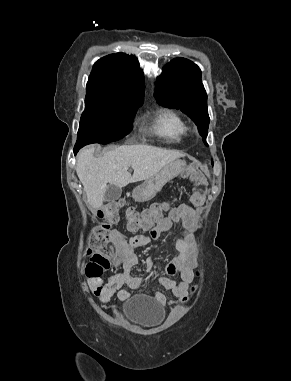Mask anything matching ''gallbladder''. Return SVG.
<instances>
[{
	"instance_id": "gallbladder-1",
	"label": "gallbladder",
	"mask_w": 291,
	"mask_h": 381,
	"mask_svg": "<svg viewBox=\"0 0 291 381\" xmlns=\"http://www.w3.org/2000/svg\"><path fill=\"white\" fill-rule=\"evenodd\" d=\"M121 194H122L121 188L110 184V185H108V187L106 189L104 200L106 202H113V201L119 199Z\"/></svg>"
}]
</instances>
